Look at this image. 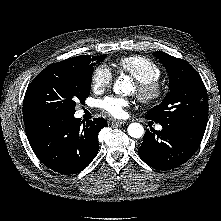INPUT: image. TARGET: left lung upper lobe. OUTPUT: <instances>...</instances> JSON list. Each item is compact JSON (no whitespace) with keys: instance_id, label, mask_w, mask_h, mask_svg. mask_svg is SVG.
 <instances>
[{"instance_id":"1","label":"left lung upper lobe","mask_w":221,"mask_h":221,"mask_svg":"<svg viewBox=\"0 0 221 221\" xmlns=\"http://www.w3.org/2000/svg\"><path fill=\"white\" fill-rule=\"evenodd\" d=\"M169 75L170 92L163 102L150 109L146 118L161 125L186 126L205 131L208 98L197 71L185 60L161 51L154 52Z\"/></svg>"}]
</instances>
